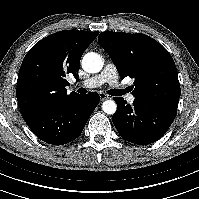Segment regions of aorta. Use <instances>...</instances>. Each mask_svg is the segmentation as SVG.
I'll use <instances>...</instances> for the list:
<instances>
[{"label":"aorta","instance_id":"762f6f07","mask_svg":"<svg viewBox=\"0 0 199 199\" xmlns=\"http://www.w3.org/2000/svg\"><path fill=\"white\" fill-rule=\"evenodd\" d=\"M82 68L88 73H97L103 68V60L101 56L95 52L85 54L82 59ZM102 109L107 114H114L117 105L113 100H106L102 104Z\"/></svg>","mask_w":199,"mask_h":199}]
</instances>
